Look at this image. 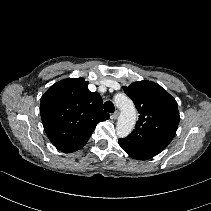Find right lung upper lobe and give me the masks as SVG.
<instances>
[{
	"instance_id": "cb5924a9",
	"label": "right lung upper lobe",
	"mask_w": 211,
	"mask_h": 211,
	"mask_svg": "<svg viewBox=\"0 0 211 211\" xmlns=\"http://www.w3.org/2000/svg\"><path fill=\"white\" fill-rule=\"evenodd\" d=\"M102 98L88 90L83 78H69L52 85L41 97L40 113L52 144L70 153L82 148L97 123L109 119Z\"/></svg>"
}]
</instances>
